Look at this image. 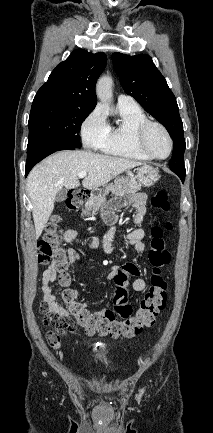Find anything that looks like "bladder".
<instances>
[{
    "mask_svg": "<svg viewBox=\"0 0 213 433\" xmlns=\"http://www.w3.org/2000/svg\"><path fill=\"white\" fill-rule=\"evenodd\" d=\"M95 360L104 363L106 365L110 364V349L106 345L98 347L93 354Z\"/></svg>",
    "mask_w": 213,
    "mask_h": 433,
    "instance_id": "bladder-1",
    "label": "bladder"
}]
</instances>
